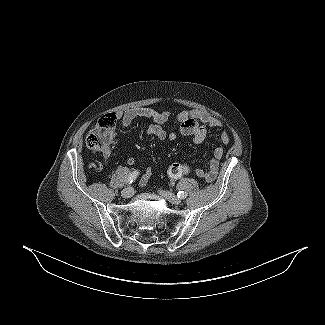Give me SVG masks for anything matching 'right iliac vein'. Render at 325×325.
Masks as SVG:
<instances>
[{"label": "right iliac vein", "instance_id": "1", "mask_svg": "<svg viewBox=\"0 0 325 325\" xmlns=\"http://www.w3.org/2000/svg\"><path fill=\"white\" fill-rule=\"evenodd\" d=\"M133 194H134V190L132 187H127L121 192L122 197L126 199L131 198Z\"/></svg>", "mask_w": 325, "mask_h": 325}]
</instances>
